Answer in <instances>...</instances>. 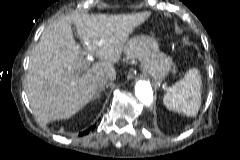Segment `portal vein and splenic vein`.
Returning a JSON list of instances; mask_svg holds the SVG:
<instances>
[{"label": "portal vein and splenic vein", "mask_w": 240, "mask_h": 160, "mask_svg": "<svg viewBox=\"0 0 240 160\" xmlns=\"http://www.w3.org/2000/svg\"><path fill=\"white\" fill-rule=\"evenodd\" d=\"M89 60H93V58L91 57Z\"/></svg>", "instance_id": "obj_1"}]
</instances>
